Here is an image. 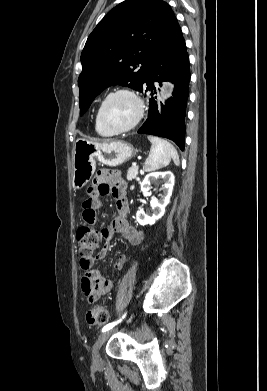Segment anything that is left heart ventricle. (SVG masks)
Returning a JSON list of instances; mask_svg holds the SVG:
<instances>
[{"instance_id":"left-heart-ventricle-1","label":"left heart ventricle","mask_w":267,"mask_h":391,"mask_svg":"<svg viewBox=\"0 0 267 391\" xmlns=\"http://www.w3.org/2000/svg\"><path fill=\"white\" fill-rule=\"evenodd\" d=\"M137 114V105L128 95H116L108 100L104 107L106 122L115 128L129 125Z\"/></svg>"}]
</instances>
